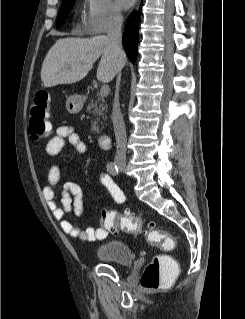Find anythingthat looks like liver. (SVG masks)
<instances>
[{"mask_svg": "<svg viewBox=\"0 0 245 319\" xmlns=\"http://www.w3.org/2000/svg\"><path fill=\"white\" fill-rule=\"evenodd\" d=\"M101 58L97 79L107 83L122 70L125 56L118 61L111 50L108 37L62 38L48 51L41 69V80L45 87L72 84L82 80Z\"/></svg>", "mask_w": 245, "mask_h": 319, "instance_id": "6515ba94", "label": "liver"}]
</instances>
